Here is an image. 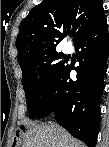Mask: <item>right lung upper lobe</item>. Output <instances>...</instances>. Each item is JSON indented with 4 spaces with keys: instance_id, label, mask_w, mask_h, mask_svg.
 I'll use <instances>...</instances> for the list:
<instances>
[{
    "instance_id": "1",
    "label": "right lung upper lobe",
    "mask_w": 109,
    "mask_h": 147,
    "mask_svg": "<svg viewBox=\"0 0 109 147\" xmlns=\"http://www.w3.org/2000/svg\"><path fill=\"white\" fill-rule=\"evenodd\" d=\"M105 16L102 0H43L25 17L16 39L20 67L53 52L65 34L75 43Z\"/></svg>"
}]
</instances>
